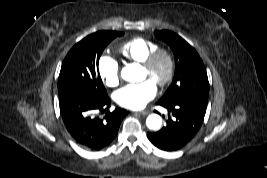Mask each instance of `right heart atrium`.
<instances>
[{"mask_svg":"<svg viewBox=\"0 0 267 178\" xmlns=\"http://www.w3.org/2000/svg\"><path fill=\"white\" fill-rule=\"evenodd\" d=\"M98 74L107 87H116L120 82V67L116 59L108 54L101 55L98 60Z\"/></svg>","mask_w":267,"mask_h":178,"instance_id":"obj_1","label":"right heart atrium"}]
</instances>
